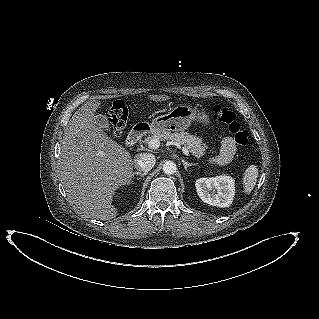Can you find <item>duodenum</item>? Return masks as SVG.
I'll use <instances>...</instances> for the list:
<instances>
[{
  "instance_id": "1",
  "label": "duodenum",
  "mask_w": 319,
  "mask_h": 319,
  "mask_svg": "<svg viewBox=\"0 0 319 319\" xmlns=\"http://www.w3.org/2000/svg\"><path fill=\"white\" fill-rule=\"evenodd\" d=\"M148 130L149 126L147 124H139L134 126L128 133L126 145L130 148L134 147Z\"/></svg>"
}]
</instances>
